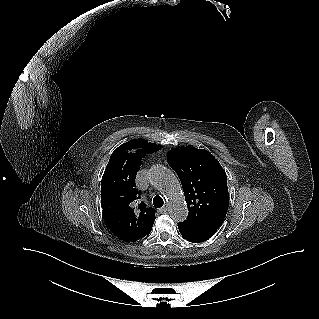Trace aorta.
<instances>
[{
	"mask_svg": "<svg viewBox=\"0 0 319 319\" xmlns=\"http://www.w3.org/2000/svg\"><path fill=\"white\" fill-rule=\"evenodd\" d=\"M149 178L151 183L164 193L171 218L175 221L185 220L188 210L180 184L173 172L162 165H156L150 169Z\"/></svg>",
	"mask_w": 319,
	"mask_h": 319,
	"instance_id": "1",
	"label": "aorta"
}]
</instances>
